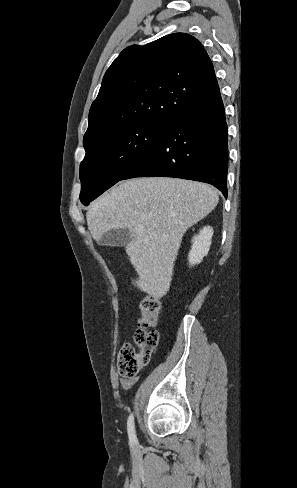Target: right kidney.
I'll list each match as a JSON object with an SVG mask.
<instances>
[{
  "label": "right kidney",
  "instance_id": "obj_1",
  "mask_svg": "<svg viewBox=\"0 0 297 488\" xmlns=\"http://www.w3.org/2000/svg\"><path fill=\"white\" fill-rule=\"evenodd\" d=\"M213 236V228L206 226L200 230L199 234L192 239L191 250L188 254L190 265L198 264L208 254L211 239Z\"/></svg>",
  "mask_w": 297,
  "mask_h": 488
}]
</instances>
